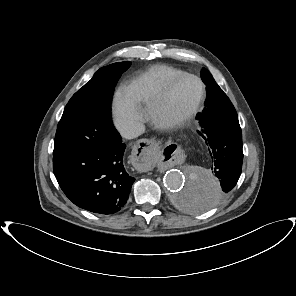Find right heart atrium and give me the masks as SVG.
I'll list each match as a JSON object with an SVG mask.
<instances>
[{"instance_id": "right-heart-atrium-1", "label": "right heart atrium", "mask_w": 296, "mask_h": 296, "mask_svg": "<svg viewBox=\"0 0 296 296\" xmlns=\"http://www.w3.org/2000/svg\"><path fill=\"white\" fill-rule=\"evenodd\" d=\"M114 115L117 127L126 135L132 134L143 120L141 109L122 91L115 96Z\"/></svg>"}]
</instances>
